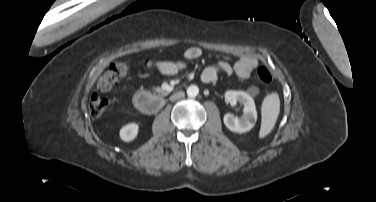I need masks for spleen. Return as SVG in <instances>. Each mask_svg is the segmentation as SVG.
I'll list each match as a JSON object with an SVG mask.
<instances>
[{
    "mask_svg": "<svg viewBox=\"0 0 376 202\" xmlns=\"http://www.w3.org/2000/svg\"><path fill=\"white\" fill-rule=\"evenodd\" d=\"M280 111L279 96L272 93L263 101L262 104V122L259 137L263 138L273 129Z\"/></svg>",
    "mask_w": 376,
    "mask_h": 202,
    "instance_id": "1",
    "label": "spleen"
}]
</instances>
